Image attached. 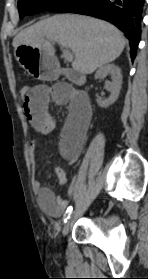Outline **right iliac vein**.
Masks as SVG:
<instances>
[{
  "label": "right iliac vein",
  "instance_id": "1",
  "mask_svg": "<svg viewBox=\"0 0 148 279\" xmlns=\"http://www.w3.org/2000/svg\"><path fill=\"white\" fill-rule=\"evenodd\" d=\"M75 216H76V212H74L71 217L68 219L67 223L65 224L64 228H63V231H62V234L63 236H66L70 230V228L72 227V224L74 222V219H75Z\"/></svg>",
  "mask_w": 148,
  "mask_h": 279
}]
</instances>
